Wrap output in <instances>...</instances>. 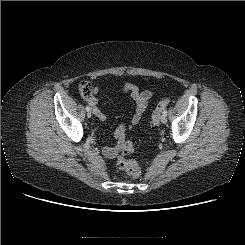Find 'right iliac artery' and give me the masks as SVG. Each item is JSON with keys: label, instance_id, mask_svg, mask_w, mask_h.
Returning <instances> with one entry per match:
<instances>
[{"label": "right iliac artery", "instance_id": "82829eb1", "mask_svg": "<svg viewBox=\"0 0 245 245\" xmlns=\"http://www.w3.org/2000/svg\"><path fill=\"white\" fill-rule=\"evenodd\" d=\"M91 110V108H90V106H86V111L88 112V111H90Z\"/></svg>", "mask_w": 245, "mask_h": 245}]
</instances>
